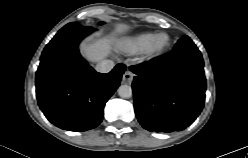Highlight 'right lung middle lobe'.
<instances>
[{
  "instance_id": "1",
  "label": "right lung middle lobe",
  "mask_w": 248,
  "mask_h": 158,
  "mask_svg": "<svg viewBox=\"0 0 248 158\" xmlns=\"http://www.w3.org/2000/svg\"><path fill=\"white\" fill-rule=\"evenodd\" d=\"M100 24H102V22ZM79 27H81V25H79L77 23H69V24L65 25L62 29L79 28Z\"/></svg>"
}]
</instances>
